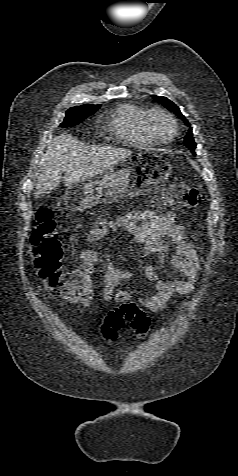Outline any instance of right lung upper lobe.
I'll return each instance as SVG.
<instances>
[{"label":"right lung upper lobe","mask_w":238,"mask_h":476,"mask_svg":"<svg viewBox=\"0 0 238 476\" xmlns=\"http://www.w3.org/2000/svg\"><path fill=\"white\" fill-rule=\"evenodd\" d=\"M77 107H100V105L85 104V105L77 106Z\"/></svg>","instance_id":"1"}]
</instances>
